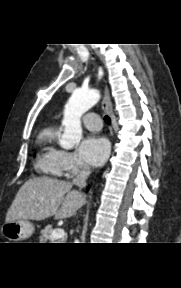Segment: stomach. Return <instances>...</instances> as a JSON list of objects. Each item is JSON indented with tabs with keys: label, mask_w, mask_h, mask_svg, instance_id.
Masks as SVG:
<instances>
[{
	"label": "stomach",
	"mask_w": 181,
	"mask_h": 288,
	"mask_svg": "<svg viewBox=\"0 0 181 288\" xmlns=\"http://www.w3.org/2000/svg\"><path fill=\"white\" fill-rule=\"evenodd\" d=\"M0 232L8 241H24L33 234L34 225L28 220L5 222L2 225Z\"/></svg>",
	"instance_id": "0dacf381"
}]
</instances>
